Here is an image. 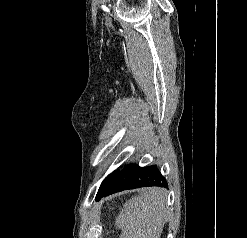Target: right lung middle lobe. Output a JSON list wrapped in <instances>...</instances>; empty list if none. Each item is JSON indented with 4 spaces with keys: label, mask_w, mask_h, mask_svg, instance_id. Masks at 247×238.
Instances as JSON below:
<instances>
[{
    "label": "right lung middle lobe",
    "mask_w": 247,
    "mask_h": 238,
    "mask_svg": "<svg viewBox=\"0 0 247 238\" xmlns=\"http://www.w3.org/2000/svg\"><path fill=\"white\" fill-rule=\"evenodd\" d=\"M113 175H114V173H112L111 175H109L108 177L105 178V180L102 182V184H101V186L99 188L97 196L107 187V185L111 181Z\"/></svg>",
    "instance_id": "right-lung-middle-lobe-1"
}]
</instances>
